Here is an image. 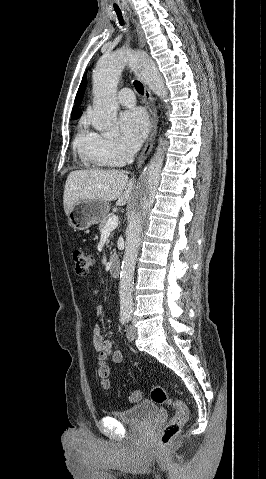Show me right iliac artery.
<instances>
[{"label":"right iliac artery","mask_w":266,"mask_h":479,"mask_svg":"<svg viewBox=\"0 0 266 479\" xmlns=\"http://www.w3.org/2000/svg\"><path fill=\"white\" fill-rule=\"evenodd\" d=\"M129 316L127 314L121 315L120 322L124 325L128 321Z\"/></svg>","instance_id":"82829eb1"}]
</instances>
